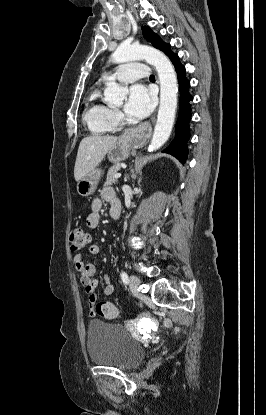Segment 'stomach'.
Here are the masks:
<instances>
[{"mask_svg":"<svg viewBox=\"0 0 266 415\" xmlns=\"http://www.w3.org/2000/svg\"><path fill=\"white\" fill-rule=\"evenodd\" d=\"M133 146V139L120 138L108 151V159L113 163L124 161L128 158ZM102 176V170L93 169L77 183V193L82 197H88L93 194L97 188Z\"/></svg>","mask_w":266,"mask_h":415,"instance_id":"stomach-1","label":"stomach"}]
</instances>
